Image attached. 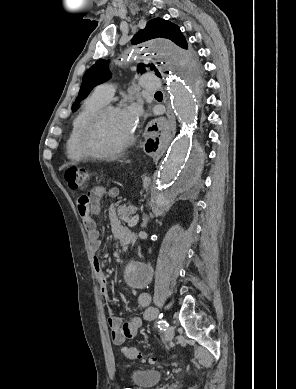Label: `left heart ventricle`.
Returning <instances> with one entry per match:
<instances>
[{"label":"left heart ventricle","mask_w":296,"mask_h":389,"mask_svg":"<svg viewBox=\"0 0 296 389\" xmlns=\"http://www.w3.org/2000/svg\"><path fill=\"white\" fill-rule=\"evenodd\" d=\"M132 131L124 112L110 113L102 119L95 131L94 148L97 150L114 149L123 144Z\"/></svg>","instance_id":"1"}]
</instances>
